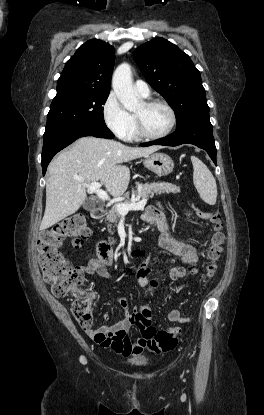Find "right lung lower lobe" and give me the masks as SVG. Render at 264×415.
<instances>
[{"mask_svg":"<svg viewBox=\"0 0 264 415\" xmlns=\"http://www.w3.org/2000/svg\"><path fill=\"white\" fill-rule=\"evenodd\" d=\"M84 136H94L99 138L112 139L113 133L106 125L81 124L68 127L44 136L42 150V169L43 175L46 173L47 166L53 156L60 150Z\"/></svg>","mask_w":264,"mask_h":415,"instance_id":"98d812e1","label":"right lung lower lobe"}]
</instances>
